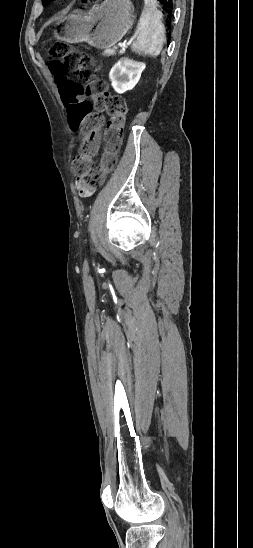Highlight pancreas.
I'll list each match as a JSON object with an SVG mask.
<instances>
[{"instance_id":"cf45deb5","label":"pancreas","mask_w":253,"mask_h":548,"mask_svg":"<svg viewBox=\"0 0 253 548\" xmlns=\"http://www.w3.org/2000/svg\"><path fill=\"white\" fill-rule=\"evenodd\" d=\"M104 54H105L106 56L115 55V51H114V50L108 49V50H106V51L104 52Z\"/></svg>"}]
</instances>
